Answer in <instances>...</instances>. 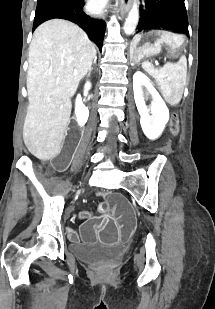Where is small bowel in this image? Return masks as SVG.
<instances>
[{
	"instance_id": "small-bowel-1",
	"label": "small bowel",
	"mask_w": 215,
	"mask_h": 309,
	"mask_svg": "<svg viewBox=\"0 0 215 309\" xmlns=\"http://www.w3.org/2000/svg\"><path fill=\"white\" fill-rule=\"evenodd\" d=\"M90 216H92V214L89 213V217H90ZM71 238H72L73 240H75L77 237H76L75 235H72Z\"/></svg>"
}]
</instances>
